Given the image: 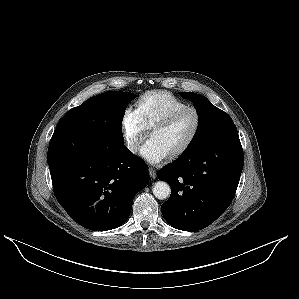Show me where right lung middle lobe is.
<instances>
[{
	"mask_svg": "<svg viewBox=\"0 0 299 299\" xmlns=\"http://www.w3.org/2000/svg\"><path fill=\"white\" fill-rule=\"evenodd\" d=\"M136 98L130 92L108 91L69 110L56 130L102 136L123 142L122 120L127 105Z\"/></svg>",
	"mask_w": 299,
	"mask_h": 299,
	"instance_id": "obj_1",
	"label": "right lung middle lobe"
}]
</instances>
